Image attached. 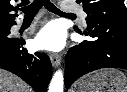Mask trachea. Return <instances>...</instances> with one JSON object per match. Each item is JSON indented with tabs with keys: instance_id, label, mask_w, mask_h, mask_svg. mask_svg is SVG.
<instances>
[{
	"instance_id": "obj_1",
	"label": "trachea",
	"mask_w": 127,
	"mask_h": 92,
	"mask_svg": "<svg viewBox=\"0 0 127 92\" xmlns=\"http://www.w3.org/2000/svg\"><path fill=\"white\" fill-rule=\"evenodd\" d=\"M44 6L48 11L65 16H76L73 13H65L60 11L50 0H34L30 5L23 7L21 10L26 17L35 16L41 7Z\"/></svg>"
}]
</instances>
